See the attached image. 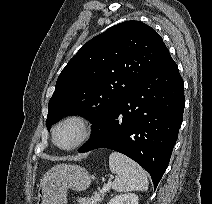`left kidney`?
<instances>
[{
    "instance_id": "1",
    "label": "left kidney",
    "mask_w": 212,
    "mask_h": 204,
    "mask_svg": "<svg viewBox=\"0 0 212 204\" xmlns=\"http://www.w3.org/2000/svg\"><path fill=\"white\" fill-rule=\"evenodd\" d=\"M107 204H138V196L135 193L116 195Z\"/></svg>"
}]
</instances>
